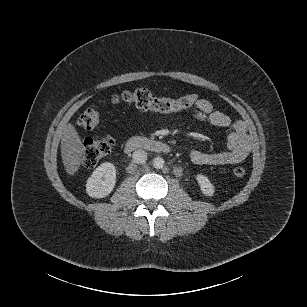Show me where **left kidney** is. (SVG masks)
I'll return each instance as SVG.
<instances>
[{
  "label": "left kidney",
  "instance_id": "left-kidney-1",
  "mask_svg": "<svg viewBox=\"0 0 307 307\" xmlns=\"http://www.w3.org/2000/svg\"><path fill=\"white\" fill-rule=\"evenodd\" d=\"M196 180L198 182V184L200 185V189L202 191V193L205 196H213L215 189L213 184H211V182L209 181V179L202 175V174H198L196 176Z\"/></svg>",
  "mask_w": 307,
  "mask_h": 307
}]
</instances>
